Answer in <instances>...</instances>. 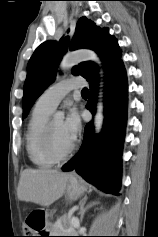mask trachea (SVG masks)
Here are the masks:
<instances>
[{
    "label": "trachea",
    "mask_w": 158,
    "mask_h": 237,
    "mask_svg": "<svg viewBox=\"0 0 158 237\" xmlns=\"http://www.w3.org/2000/svg\"><path fill=\"white\" fill-rule=\"evenodd\" d=\"M81 93H82V95H89V90L85 88L82 90Z\"/></svg>",
    "instance_id": "1"
}]
</instances>
